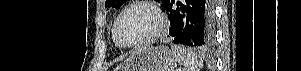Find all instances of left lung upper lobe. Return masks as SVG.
Returning a JSON list of instances; mask_svg holds the SVG:
<instances>
[{
  "label": "left lung upper lobe",
  "mask_w": 301,
  "mask_h": 71,
  "mask_svg": "<svg viewBox=\"0 0 301 71\" xmlns=\"http://www.w3.org/2000/svg\"><path fill=\"white\" fill-rule=\"evenodd\" d=\"M126 0H106L105 7L106 8H119ZM159 1V0H157ZM163 6L168 2V0H161Z\"/></svg>",
  "instance_id": "left-lung-upper-lobe-1"
}]
</instances>
